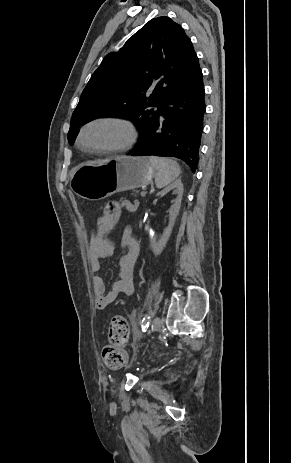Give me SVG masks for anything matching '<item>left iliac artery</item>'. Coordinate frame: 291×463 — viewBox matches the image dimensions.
Returning <instances> with one entry per match:
<instances>
[{
    "mask_svg": "<svg viewBox=\"0 0 291 463\" xmlns=\"http://www.w3.org/2000/svg\"><path fill=\"white\" fill-rule=\"evenodd\" d=\"M149 320H150V316L146 315L143 320H142V324H141V327H142V331L143 332H146V329L149 327Z\"/></svg>",
    "mask_w": 291,
    "mask_h": 463,
    "instance_id": "1",
    "label": "left iliac artery"
}]
</instances>
